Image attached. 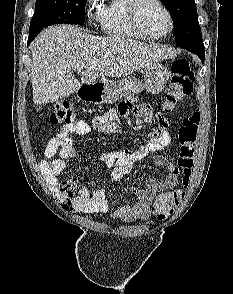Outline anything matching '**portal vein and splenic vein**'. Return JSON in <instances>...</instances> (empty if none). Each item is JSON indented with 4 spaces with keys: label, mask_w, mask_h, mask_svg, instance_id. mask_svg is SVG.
<instances>
[{
    "label": "portal vein and splenic vein",
    "mask_w": 233,
    "mask_h": 294,
    "mask_svg": "<svg viewBox=\"0 0 233 294\" xmlns=\"http://www.w3.org/2000/svg\"><path fill=\"white\" fill-rule=\"evenodd\" d=\"M84 67H85L84 63H79V64L74 66V69H76L78 71H81Z\"/></svg>",
    "instance_id": "obj_1"
}]
</instances>
